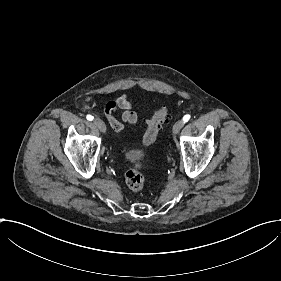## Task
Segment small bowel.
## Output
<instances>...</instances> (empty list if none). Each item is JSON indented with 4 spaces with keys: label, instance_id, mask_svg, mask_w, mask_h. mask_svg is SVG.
<instances>
[{
    "label": "small bowel",
    "instance_id": "c3829d8e",
    "mask_svg": "<svg viewBox=\"0 0 281 281\" xmlns=\"http://www.w3.org/2000/svg\"><path fill=\"white\" fill-rule=\"evenodd\" d=\"M108 124L115 131L125 129L124 122L135 125L138 121L136 112L133 110L129 100L123 96L109 99L104 105Z\"/></svg>",
    "mask_w": 281,
    "mask_h": 281
}]
</instances>
